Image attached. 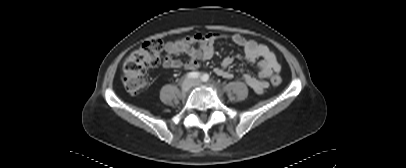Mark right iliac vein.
<instances>
[{"instance_id": "1", "label": "right iliac vein", "mask_w": 406, "mask_h": 168, "mask_svg": "<svg viewBox=\"0 0 406 168\" xmlns=\"http://www.w3.org/2000/svg\"><path fill=\"white\" fill-rule=\"evenodd\" d=\"M193 85V81L191 79H186L181 85L182 93H187Z\"/></svg>"}]
</instances>
